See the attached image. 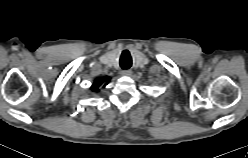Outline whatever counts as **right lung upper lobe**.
Returning <instances> with one entry per match:
<instances>
[{"label": "right lung upper lobe", "instance_id": "obj_1", "mask_svg": "<svg viewBox=\"0 0 248 158\" xmlns=\"http://www.w3.org/2000/svg\"><path fill=\"white\" fill-rule=\"evenodd\" d=\"M109 79H110L109 77H105L103 79H101V78L96 79L94 84L91 87V90L96 91L99 88V86H101L104 82L109 81Z\"/></svg>", "mask_w": 248, "mask_h": 158}]
</instances>
